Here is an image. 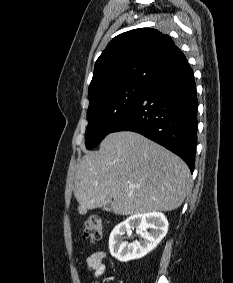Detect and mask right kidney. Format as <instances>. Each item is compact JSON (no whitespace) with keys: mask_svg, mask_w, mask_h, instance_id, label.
Wrapping results in <instances>:
<instances>
[{"mask_svg":"<svg viewBox=\"0 0 233 283\" xmlns=\"http://www.w3.org/2000/svg\"><path fill=\"white\" fill-rule=\"evenodd\" d=\"M134 228L143 240L128 244L123 241V234ZM148 229H150L149 232ZM167 231L168 221L164 214L160 212L134 214L119 223L111 232L109 237L110 253L121 262L140 259L160 243Z\"/></svg>","mask_w":233,"mask_h":283,"instance_id":"right-kidney-1","label":"right kidney"}]
</instances>
